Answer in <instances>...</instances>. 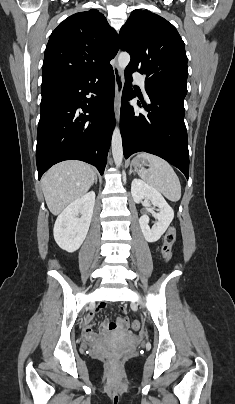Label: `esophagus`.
Returning <instances> with one entry per match:
<instances>
[{
  "mask_svg": "<svg viewBox=\"0 0 235 404\" xmlns=\"http://www.w3.org/2000/svg\"><path fill=\"white\" fill-rule=\"evenodd\" d=\"M114 77H115V99H114V110L116 117L118 118L119 110H120V103H121V93L124 85L123 75L122 72L115 63L113 65Z\"/></svg>",
  "mask_w": 235,
  "mask_h": 404,
  "instance_id": "obj_1",
  "label": "esophagus"
}]
</instances>
